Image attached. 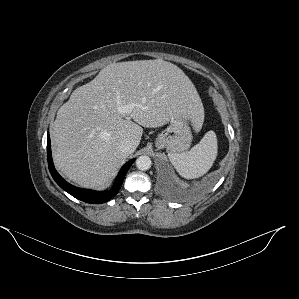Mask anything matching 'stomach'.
<instances>
[{
  "label": "stomach",
  "instance_id": "obj_1",
  "mask_svg": "<svg viewBox=\"0 0 299 299\" xmlns=\"http://www.w3.org/2000/svg\"><path fill=\"white\" fill-rule=\"evenodd\" d=\"M191 121V115L186 112L173 116L169 126L158 135L155 146L166 148L169 154L187 151L192 142Z\"/></svg>",
  "mask_w": 299,
  "mask_h": 299
}]
</instances>
